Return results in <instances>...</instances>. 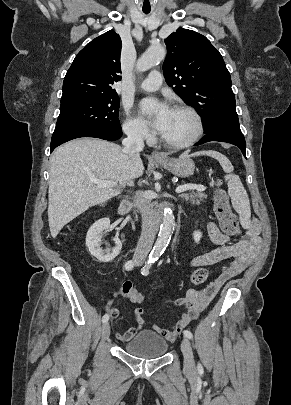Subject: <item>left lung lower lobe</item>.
<instances>
[{"label":"left lung lower lobe","mask_w":291,"mask_h":405,"mask_svg":"<svg viewBox=\"0 0 291 405\" xmlns=\"http://www.w3.org/2000/svg\"><path fill=\"white\" fill-rule=\"evenodd\" d=\"M209 141L227 142L236 145L240 148L243 155L246 157V142L240 127L237 125H222L215 128L213 131L197 142L195 145H201Z\"/></svg>","instance_id":"0a47b994"}]
</instances>
